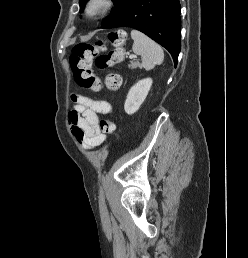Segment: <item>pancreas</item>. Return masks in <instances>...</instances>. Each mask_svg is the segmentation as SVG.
Returning <instances> with one entry per match:
<instances>
[{
    "label": "pancreas",
    "mask_w": 248,
    "mask_h": 258,
    "mask_svg": "<svg viewBox=\"0 0 248 258\" xmlns=\"http://www.w3.org/2000/svg\"><path fill=\"white\" fill-rule=\"evenodd\" d=\"M138 66H139V63H138L137 61H132V62L128 65V67H129L130 69H136Z\"/></svg>",
    "instance_id": "pancreas-1"
}]
</instances>
